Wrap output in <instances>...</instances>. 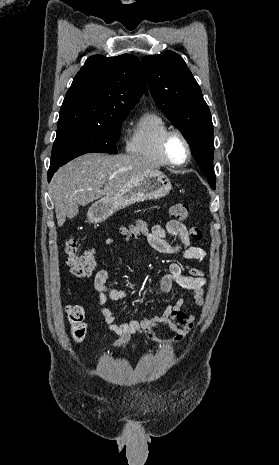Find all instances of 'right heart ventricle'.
Listing matches in <instances>:
<instances>
[{"label": "right heart ventricle", "instance_id": "right-heart-ventricle-1", "mask_svg": "<svg viewBox=\"0 0 279 465\" xmlns=\"http://www.w3.org/2000/svg\"><path fill=\"white\" fill-rule=\"evenodd\" d=\"M170 129L167 120L155 111L143 113L133 125L126 151L158 165H168L160 150L163 134Z\"/></svg>", "mask_w": 279, "mask_h": 465}]
</instances>
